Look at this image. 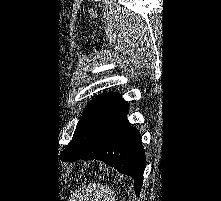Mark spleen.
I'll use <instances>...</instances> for the list:
<instances>
[{
  "label": "spleen",
  "mask_w": 221,
  "mask_h": 201,
  "mask_svg": "<svg viewBox=\"0 0 221 201\" xmlns=\"http://www.w3.org/2000/svg\"><path fill=\"white\" fill-rule=\"evenodd\" d=\"M73 201H116V195L108 186L90 183L76 192Z\"/></svg>",
  "instance_id": "1"
}]
</instances>
